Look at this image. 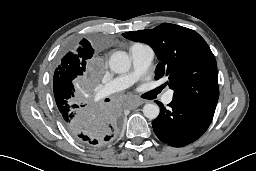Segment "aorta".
<instances>
[{"label": "aorta", "mask_w": 256, "mask_h": 171, "mask_svg": "<svg viewBox=\"0 0 256 171\" xmlns=\"http://www.w3.org/2000/svg\"><path fill=\"white\" fill-rule=\"evenodd\" d=\"M109 67L117 74L126 73L131 67V60L126 52L117 51L110 56ZM159 113L160 109L157 104L147 103L143 107V114L148 119H156Z\"/></svg>", "instance_id": "obj_1"}]
</instances>
